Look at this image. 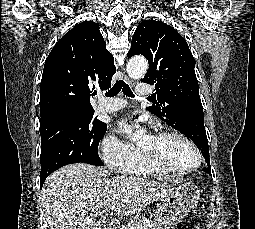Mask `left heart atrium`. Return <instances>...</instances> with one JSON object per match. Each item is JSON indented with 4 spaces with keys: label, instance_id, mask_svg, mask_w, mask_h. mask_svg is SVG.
I'll return each instance as SVG.
<instances>
[{
    "label": "left heart atrium",
    "instance_id": "39dd6f15",
    "mask_svg": "<svg viewBox=\"0 0 255 229\" xmlns=\"http://www.w3.org/2000/svg\"><path fill=\"white\" fill-rule=\"evenodd\" d=\"M118 130L120 133L128 135L132 130V126L129 125L127 122L122 121L118 125Z\"/></svg>",
    "mask_w": 255,
    "mask_h": 229
}]
</instances>
